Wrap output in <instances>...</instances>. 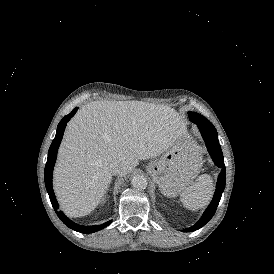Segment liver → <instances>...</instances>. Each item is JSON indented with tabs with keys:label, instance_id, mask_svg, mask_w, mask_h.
<instances>
[{
	"label": "liver",
	"instance_id": "obj_1",
	"mask_svg": "<svg viewBox=\"0 0 274 274\" xmlns=\"http://www.w3.org/2000/svg\"><path fill=\"white\" fill-rule=\"evenodd\" d=\"M173 108L143 101H93L68 122L54 168L53 187L69 217L88 215L113 175L162 154L171 135L186 132Z\"/></svg>",
	"mask_w": 274,
	"mask_h": 274
}]
</instances>
